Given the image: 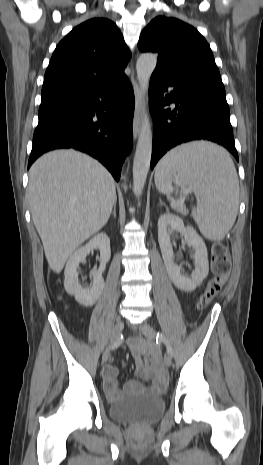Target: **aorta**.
<instances>
[{
    "label": "aorta",
    "instance_id": "aorta-1",
    "mask_svg": "<svg viewBox=\"0 0 263 465\" xmlns=\"http://www.w3.org/2000/svg\"><path fill=\"white\" fill-rule=\"evenodd\" d=\"M157 64V55L143 53L136 63L137 78L142 97L147 96L150 77ZM152 154V131L146 111L143 113L141 130L136 146L133 162V188L137 198L142 194L143 187L150 168Z\"/></svg>",
    "mask_w": 263,
    "mask_h": 465
}]
</instances>
